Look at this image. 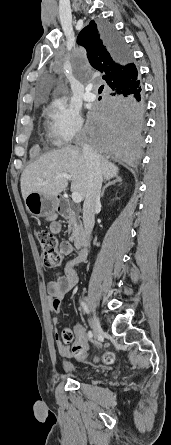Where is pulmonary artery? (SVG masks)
<instances>
[{
  "label": "pulmonary artery",
  "instance_id": "pulmonary-artery-1",
  "mask_svg": "<svg viewBox=\"0 0 171 445\" xmlns=\"http://www.w3.org/2000/svg\"><path fill=\"white\" fill-rule=\"evenodd\" d=\"M83 99L87 102H92L95 99V95L91 93L90 90L88 89L84 94Z\"/></svg>",
  "mask_w": 171,
  "mask_h": 445
}]
</instances>
